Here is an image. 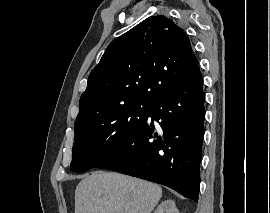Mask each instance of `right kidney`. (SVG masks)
Here are the masks:
<instances>
[{
    "instance_id": "ca27d5eb",
    "label": "right kidney",
    "mask_w": 270,
    "mask_h": 213,
    "mask_svg": "<svg viewBox=\"0 0 270 213\" xmlns=\"http://www.w3.org/2000/svg\"><path fill=\"white\" fill-rule=\"evenodd\" d=\"M154 213H179L173 200H165L156 208Z\"/></svg>"
}]
</instances>
